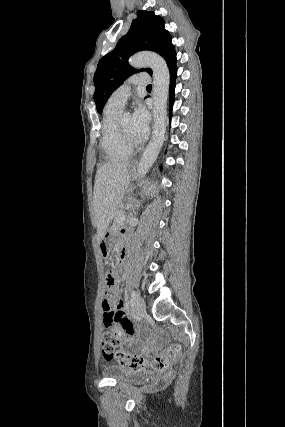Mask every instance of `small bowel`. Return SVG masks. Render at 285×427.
<instances>
[{"label": "small bowel", "mask_w": 285, "mask_h": 427, "mask_svg": "<svg viewBox=\"0 0 285 427\" xmlns=\"http://www.w3.org/2000/svg\"><path fill=\"white\" fill-rule=\"evenodd\" d=\"M101 310L103 313V324L106 327H112L115 323H119L123 327L126 326L128 317L125 314V304L120 297L117 286L113 288L110 296L103 298Z\"/></svg>", "instance_id": "obj_1"}]
</instances>
